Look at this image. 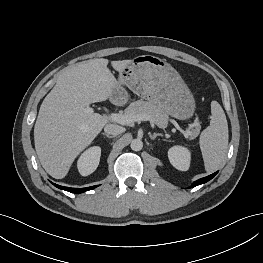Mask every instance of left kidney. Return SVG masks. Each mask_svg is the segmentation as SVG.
<instances>
[{
  "label": "left kidney",
  "mask_w": 263,
  "mask_h": 263,
  "mask_svg": "<svg viewBox=\"0 0 263 263\" xmlns=\"http://www.w3.org/2000/svg\"><path fill=\"white\" fill-rule=\"evenodd\" d=\"M170 163L178 170L187 171L190 166L191 153L183 146H173L168 151Z\"/></svg>",
  "instance_id": "1"
}]
</instances>
